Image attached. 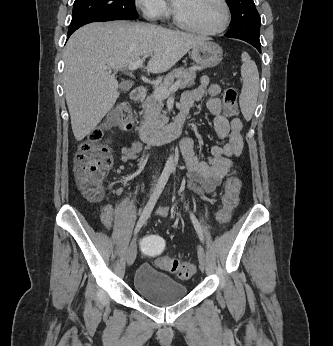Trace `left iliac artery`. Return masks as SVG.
<instances>
[{
	"label": "left iliac artery",
	"instance_id": "obj_1",
	"mask_svg": "<svg viewBox=\"0 0 333 346\" xmlns=\"http://www.w3.org/2000/svg\"><path fill=\"white\" fill-rule=\"evenodd\" d=\"M190 217H191L192 223H193V225H194V227H195V229L199 235L200 240L203 241V232H202V229H201V226H200L198 220L196 219L194 214L191 212H190Z\"/></svg>",
	"mask_w": 333,
	"mask_h": 346
}]
</instances>
